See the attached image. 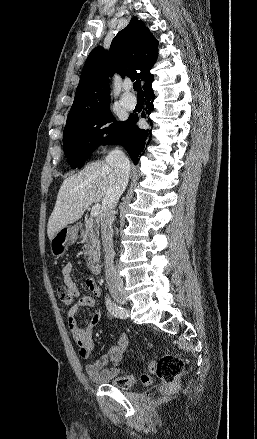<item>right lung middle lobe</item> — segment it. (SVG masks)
I'll return each mask as SVG.
<instances>
[{
    "label": "right lung middle lobe",
    "mask_w": 257,
    "mask_h": 439,
    "mask_svg": "<svg viewBox=\"0 0 257 439\" xmlns=\"http://www.w3.org/2000/svg\"><path fill=\"white\" fill-rule=\"evenodd\" d=\"M109 124V127L103 128ZM125 122L112 116L110 106L97 112L66 122L63 132V149L70 166L82 168L86 159L102 143L112 142L123 130ZM108 133V139L103 134Z\"/></svg>",
    "instance_id": "dd1d6c3e"
}]
</instances>
